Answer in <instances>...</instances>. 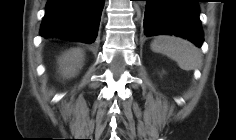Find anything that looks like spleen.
Masks as SVG:
<instances>
[{
  "label": "spleen",
  "mask_w": 236,
  "mask_h": 140,
  "mask_svg": "<svg viewBox=\"0 0 236 140\" xmlns=\"http://www.w3.org/2000/svg\"><path fill=\"white\" fill-rule=\"evenodd\" d=\"M151 49L176 61L178 66L185 71L194 70L202 63L199 49L182 38L159 36L151 43Z\"/></svg>",
  "instance_id": "1"
}]
</instances>
